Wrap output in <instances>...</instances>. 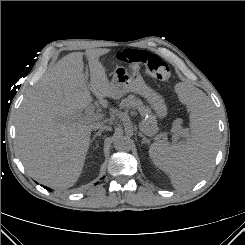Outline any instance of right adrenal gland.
I'll return each instance as SVG.
<instances>
[{"mask_svg": "<svg viewBox=\"0 0 245 245\" xmlns=\"http://www.w3.org/2000/svg\"><path fill=\"white\" fill-rule=\"evenodd\" d=\"M102 131H103L102 129H100L99 131H97L96 134H95V135L93 136V138L91 139V142H93V141L96 139V137H100ZM96 147H98V143H97Z\"/></svg>", "mask_w": 245, "mask_h": 245, "instance_id": "right-adrenal-gland-1", "label": "right adrenal gland"}]
</instances>
